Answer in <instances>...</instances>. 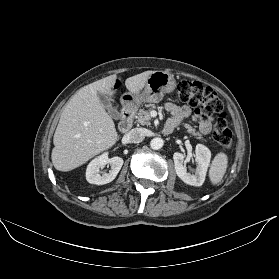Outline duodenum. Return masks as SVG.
I'll list each match as a JSON object with an SVG mask.
<instances>
[{
	"instance_id": "410a0bca",
	"label": "duodenum",
	"mask_w": 279,
	"mask_h": 279,
	"mask_svg": "<svg viewBox=\"0 0 279 279\" xmlns=\"http://www.w3.org/2000/svg\"><path fill=\"white\" fill-rule=\"evenodd\" d=\"M133 114L134 112L132 109L127 108L123 111L122 119L119 123V128L122 132H126L131 128L133 122Z\"/></svg>"
}]
</instances>
